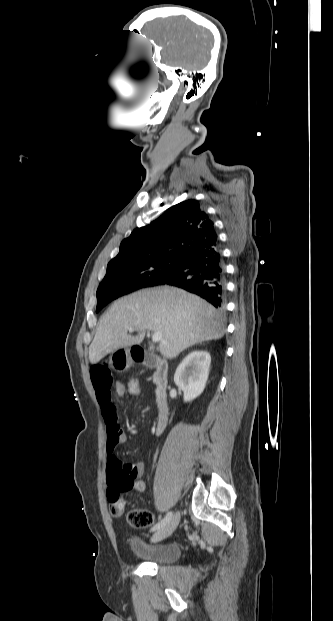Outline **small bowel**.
I'll return each mask as SVG.
<instances>
[{"label": "small bowel", "mask_w": 333, "mask_h": 621, "mask_svg": "<svg viewBox=\"0 0 333 621\" xmlns=\"http://www.w3.org/2000/svg\"><path fill=\"white\" fill-rule=\"evenodd\" d=\"M92 383L96 392L97 400L101 407L102 416L106 424L107 432V461L108 466L113 461H118L116 456V448L118 445L126 442L127 435L122 430L119 422L116 406L113 403L112 393V375L106 362H97L92 367L91 372ZM114 393L117 396L125 395V387L123 382H117L114 388ZM119 462V461H118ZM126 469L130 471L131 477L134 480L133 489L136 491H143L145 485L139 480L144 471V463L139 461L136 463H130L124 465ZM109 506L115 502H120L125 505V502L121 496V492L117 491L110 486L108 490Z\"/></svg>", "instance_id": "c3829d8e"}]
</instances>
